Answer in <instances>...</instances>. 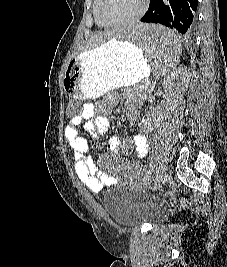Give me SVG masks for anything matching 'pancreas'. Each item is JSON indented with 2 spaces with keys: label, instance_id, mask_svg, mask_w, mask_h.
Returning a JSON list of instances; mask_svg holds the SVG:
<instances>
[{
  "label": "pancreas",
  "instance_id": "cf45deb5",
  "mask_svg": "<svg viewBox=\"0 0 227 267\" xmlns=\"http://www.w3.org/2000/svg\"><path fill=\"white\" fill-rule=\"evenodd\" d=\"M151 88V83L148 80L142 81L140 85L136 86V90L142 91V92H149Z\"/></svg>",
  "mask_w": 227,
  "mask_h": 267
}]
</instances>
